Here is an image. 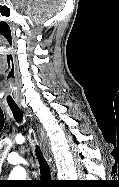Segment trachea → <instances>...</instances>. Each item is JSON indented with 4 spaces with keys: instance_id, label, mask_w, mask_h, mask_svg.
<instances>
[{
    "instance_id": "1",
    "label": "trachea",
    "mask_w": 119,
    "mask_h": 187,
    "mask_svg": "<svg viewBox=\"0 0 119 187\" xmlns=\"http://www.w3.org/2000/svg\"><path fill=\"white\" fill-rule=\"evenodd\" d=\"M9 106L14 114L15 119L19 122L23 117L21 110L19 109V107L17 105H9ZM36 154L39 158L40 169H41L40 173H41L42 178H44V179L50 178L49 166H48L47 162L44 160V157L42 156V153H41V150L39 149V147H37V149H36Z\"/></svg>"
}]
</instances>
